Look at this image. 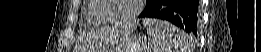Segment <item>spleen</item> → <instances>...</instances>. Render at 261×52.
<instances>
[{
  "label": "spleen",
  "mask_w": 261,
  "mask_h": 52,
  "mask_svg": "<svg viewBox=\"0 0 261 52\" xmlns=\"http://www.w3.org/2000/svg\"><path fill=\"white\" fill-rule=\"evenodd\" d=\"M150 52H193L192 37L184 31L157 19H145Z\"/></svg>",
  "instance_id": "obj_1"
}]
</instances>
